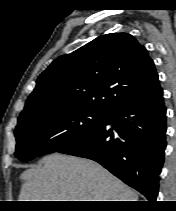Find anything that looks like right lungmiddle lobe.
Wrapping results in <instances>:
<instances>
[{
    "label": "right lung middle lobe",
    "mask_w": 176,
    "mask_h": 211,
    "mask_svg": "<svg viewBox=\"0 0 176 211\" xmlns=\"http://www.w3.org/2000/svg\"><path fill=\"white\" fill-rule=\"evenodd\" d=\"M107 113L75 107L50 109L18 119L15 156L28 161L58 152L99 126Z\"/></svg>",
    "instance_id": "dd1d6c3e"
}]
</instances>
